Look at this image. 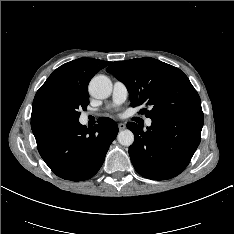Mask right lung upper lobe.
<instances>
[{
  "label": "right lung upper lobe",
  "mask_w": 234,
  "mask_h": 234,
  "mask_svg": "<svg viewBox=\"0 0 234 234\" xmlns=\"http://www.w3.org/2000/svg\"><path fill=\"white\" fill-rule=\"evenodd\" d=\"M110 63L94 58H79L57 68L35 95L32 105V121L43 117V106L53 94L61 92L88 94L90 79Z\"/></svg>",
  "instance_id": "right-lung-upper-lobe-1"
}]
</instances>
